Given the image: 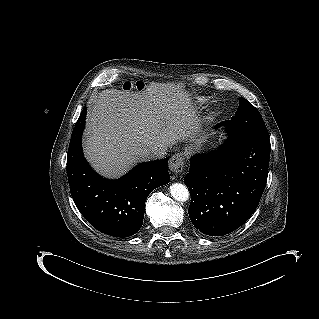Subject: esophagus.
Listing matches in <instances>:
<instances>
[{
	"mask_svg": "<svg viewBox=\"0 0 319 319\" xmlns=\"http://www.w3.org/2000/svg\"><path fill=\"white\" fill-rule=\"evenodd\" d=\"M169 170L174 174H179L184 168V157L182 154H174L169 160Z\"/></svg>",
	"mask_w": 319,
	"mask_h": 319,
	"instance_id": "34e87169",
	"label": "esophagus"
}]
</instances>
